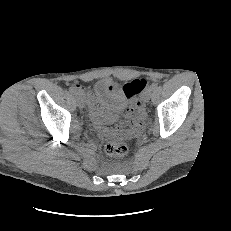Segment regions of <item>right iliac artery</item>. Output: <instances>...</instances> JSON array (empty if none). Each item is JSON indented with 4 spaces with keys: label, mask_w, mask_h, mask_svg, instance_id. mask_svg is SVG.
Returning a JSON list of instances; mask_svg holds the SVG:
<instances>
[{
    "label": "right iliac artery",
    "mask_w": 231,
    "mask_h": 231,
    "mask_svg": "<svg viewBox=\"0 0 231 231\" xmlns=\"http://www.w3.org/2000/svg\"><path fill=\"white\" fill-rule=\"evenodd\" d=\"M69 92H70V93H75L76 90H75L73 87H70V88H69Z\"/></svg>",
    "instance_id": "right-iliac-artery-1"
}]
</instances>
